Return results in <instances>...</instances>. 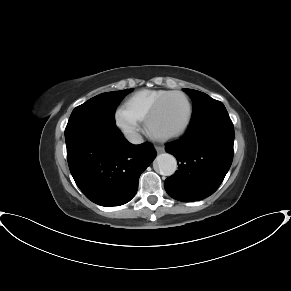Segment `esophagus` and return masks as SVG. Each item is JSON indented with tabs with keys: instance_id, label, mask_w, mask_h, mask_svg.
Listing matches in <instances>:
<instances>
[{
	"instance_id": "obj_1",
	"label": "esophagus",
	"mask_w": 291,
	"mask_h": 291,
	"mask_svg": "<svg viewBox=\"0 0 291 291\" xmlns=\"http://www.w3.org/2000/svg\"><path fill=\"white\" fill-rule=\"evenodd\" d=\"M155 150H156L158 153H162V152H164V147H162V146H155Z\"/></svg>"
}]
</instances>
